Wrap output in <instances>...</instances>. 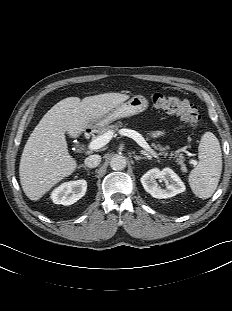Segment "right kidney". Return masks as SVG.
<instances>
[{
    "label": "right kidney",
    "mask_w": 232,
    "mask_h": 311,
    "mask_svg": "<svg viewBox=\"0 0 232 311\" xmlns=\"http://www.w3.org/2000/svg\"><path fill=\"white\" fill-rule=\"evenodd\" d=\"M86 189L87 182L83 179L65 182L52 191L51 199L55 204L71 205L85 195Z\"/></svg>",
    "instance_id": "obj_1"
}]
</instances>
